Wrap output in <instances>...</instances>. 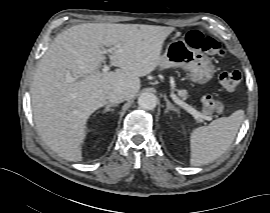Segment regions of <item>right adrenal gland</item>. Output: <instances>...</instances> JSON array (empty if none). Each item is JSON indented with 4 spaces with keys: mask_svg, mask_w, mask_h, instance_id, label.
Returning <instances> with one entry per match:
<instances>
[{
    "mask_svg": "<svg viewBox=\"0 0 270 213\" xmlns=\"http://www.w3.org/2000/svg\"><path fill=\"white\" fill-rule=\"evenodd\" d=\"M115 106H117V105H107L102 113L105 114V113H107L109 111L113 112L114 109H112L111 107H115Z\"/></svg>",
    "mask_w": 270,
    "mask_h": 213,
    "instance_id": "right-adrenal-gland-1",
    "label": "right adrenal gland"
}]
</instances>
